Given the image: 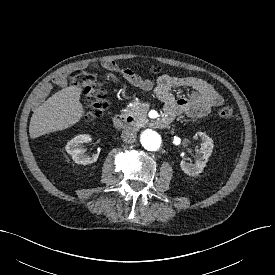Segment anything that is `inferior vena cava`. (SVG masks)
<instances>
[{
  "instance_id": "obj_1",
  "label": "inferior vena cava",
  "mask_w": 275,
  "mask_h": 275,
  "mask_svg": "<svg viewBox=\"0 0 275 275\" xmlns=\"http://www.w3.org/2000/svg\"><path fill=\"white\" fill-rule=\"evenodd\" d=\"M122 139L125 143H134L136 141V131L134 128H126L122 133Z\"/></svg>"
}]
</instances>
